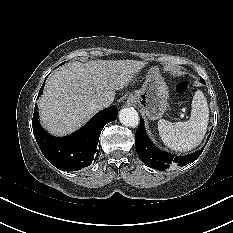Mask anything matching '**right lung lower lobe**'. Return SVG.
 <instances>
[{"label":"right lung lower lobe","instance_id":"right-lung-lower-lobe-1","mask_svg":"<svg viewBox=\"0 0 233 233\" xmlns=\"http://www.w3.org/2000/svg\"><path fill=\"white\" fill-rule=\"evenodd\" d=\"M43 92V86L39 95ZM38 108L35 105L32 126L35 139L45 158L56 168L63 171H77L89 166L97 159L99 136L103 127L116 119L117 106L106 108L97 113L77 132L64 137L50 136L39 124Z\"/></svg>","mask_w":233,"mask_h":233}]
</instances>
